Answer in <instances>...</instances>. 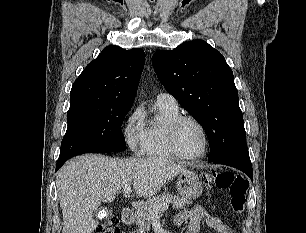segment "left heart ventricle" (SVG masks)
<instances>
[{"mask_svg": "<svg viewBox=\"0 0 306 233\" xmlns=\"http://www.w3.org/2000/svg\"><path fill=\"white\" fill-rule=\"evenodd\" d=\"M177 145L184 155L200 154L203 151L204 139L198 126L192 122L183 123L178 130Z\"/></svg>", "mask_w": 306, "mask_h": 233, "instance_id": "left-heart-ventricle-1", "label": "left heart ventricle"}]
</instances>
